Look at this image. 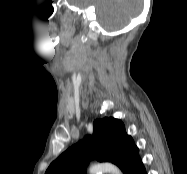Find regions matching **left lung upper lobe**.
<instances>
[{"mask_svg": "<svg viewBox=\"0 0 187 174\" xmlns=\"http://www.w3.org/2000/svg\"><path fill=\"white\" fill-rule=\"evenodd\" d=\"M109 161L130 174L142 163L139 149L125 132L124 124L115 118H104L94 122L93 135L69 147L55 161L45 174H85L91 159Z\"/></svg>", "mask_w": 187, "mask_h": 174, "instance_id": "5c2ea615", "label": "left lung upper lobe"}]
</instances>
